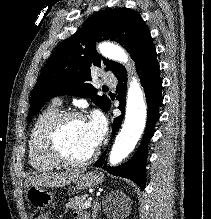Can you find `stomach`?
<instances>
[{
	"mask_svg": "<svg viewBox=\"0 0 211 219\" xmlns=\"http://www.w3.org/2000/svg\"><path fill=\"white\" fill-rule=\"evenodd\" d=\"M103 182V174L100 172L89 171L83 173L76 181L79 190H85L100 185ZM28 202L38 209L48 207L53 201V194L41 186H30L26 191Z\"/></svg>",
	"mask_w": 211,
	"mask_h": 219,
	"instance_id": "obj_1",
	"label": "stomach"
}]
</instances>
